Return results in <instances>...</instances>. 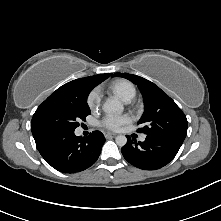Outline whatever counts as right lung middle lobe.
Here are the masks:
<instances>
[{
	"label": "right lung middle lobe",
	"mask_w": 221,
	"mask_h": 221,
	"mask_svg": "<svg viewBox=\"0 0 221 221\" xmlns=\"http://www.w3.org/2000/svg\"><path fill=\"white\" fill-rule=\"evenodd\" d=\"M90 90L80 99H46L36 110L31 121L34 137L57 130L72 131L85 120L90 108L87 97Z\"/></svg>",
	"instance_id": "obj_1"
}]
</instances>
